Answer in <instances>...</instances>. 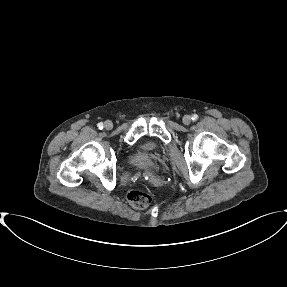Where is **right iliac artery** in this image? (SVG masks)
I'll return each instance as SVG.
<instances>
[{
    "mask_svg": "<svg viewBox=\"0 0 287 287\" xmlns=\"http://www.w3.org/2000/svg\"><path fill=\"white\" fill-rule=\"evenodd\" d=\"M97 126L99 129H103V127H104L102 122L98 123Z\"/></svg>",
    "mask_w": 287,
    "mask_h": 287,
    "instance_id": "right-iliac-artery-1",
    "label": "right iliac artery"
}]
</instances>
